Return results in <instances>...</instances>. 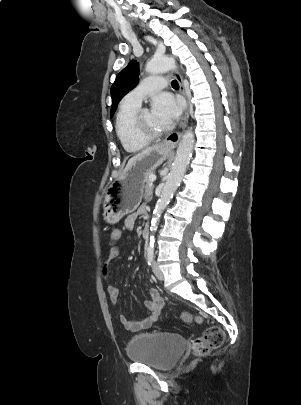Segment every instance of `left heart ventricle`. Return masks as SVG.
Instances as JSON below:
<instances>
[{
  "label": "left heart ventricle",
  "mask_w": 301,
  "mask_h": 405,
  "mask_svg": "<svg viewBox=\"0 0 301 405\" xmlns=\"http://www.w3.org/2000/svg\"><path fill=\"white\" fill-rule=\"evenodd\" d=\"M143 123L146 129L151 131H161L165 126L154 116L152 111L145 110L143 113Z\"/></svg>",
  "instance_id": "b2bd125f"
}]
</instances>
